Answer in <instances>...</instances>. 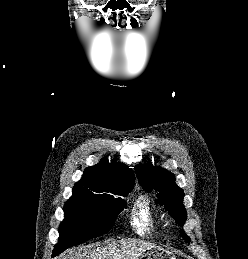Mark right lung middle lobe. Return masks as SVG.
<instances>
[{
	"label": "right lung middle lobe",
	"instance_id": "1",
	"mask_svg": "<svg viewBox=\"0 0 248 259\" xmlns=\"http://www.w3.org/2000/svg\"><path fill=\"white\" fill-rule=\"evenodd\" d=\"M130 191L112 194L73 191L64 206L65 219L60 225V237L53 254L108 232L126 205L121 197L114 195L125 197Z\"/></svg>",
	"mask_w": 248,
	"mask_h": 259
}]
</instances>
